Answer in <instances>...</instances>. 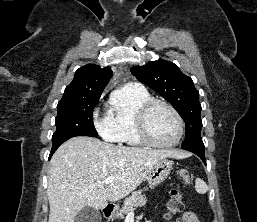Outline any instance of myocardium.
<instances>
[{
  "label": "myocardium",
  "mask_w": 257,
  "mask_h": 222,
  "mask_svg": "<svg viewBox=\"0 0 257 222\" xmlns=\"http://www.w3.org/2000/svg\"><path fill=\"white\" fill-rule=\"evenodd\" d=\"M158 105H162L168 108L171 113L174 115L177 124H178V133L176 138L168 143H160L155 141L150 135L148 128V118L151 111ZM136 126L139 138L141 141L148 146L155 148H171L179 144L184 134V120L179 113V111L168 101L162 99H153L151 98L145 102L139 109L136 119Z\"/></svg>",
  "instance_id": "myocardium-1"
}]
</instances>
